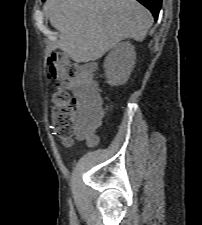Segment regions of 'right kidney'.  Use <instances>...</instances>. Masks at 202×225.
Instances as JSON below:
<instances>
[{"mask_svg":"<svg viewBox=\"0 0 202 225\" xmlns=\"http://www.w3.org/2000/svg\"><path fill=\"white\" fill-rule=\"evenodd\" d=\"M136 54L129 42L117 44L105 58L104 69L107 83L111 86L126 83L133 70Z\"/></svg>","mask_w":202,"mask_h":225,"instance_id":"1","label":"right kidney"}]
</instances>
